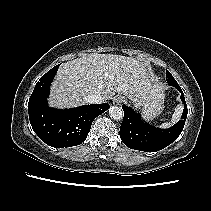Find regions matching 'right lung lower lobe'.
<instances>
[{
    "label": "right lung lower lobe",
    "instance_id": "obj_1",
    "mask_svg": "<svg viewBox=\"0 0 211 211\" xmlns=\"http://www.w3.org/2000/svg\"><path fill=\"white\" fill-rule=\"evenodd\" d=\"M57 70L58 66L53 67L37 82L28 103L29 119L35 133L47 145L76 146L86 139L93 120L110 106L103 103L65 110L49 108L47 97Z\"/></svg>",
    "mask_w": 211,
    "mask_h": 211
}]
</instances>
